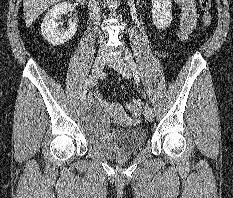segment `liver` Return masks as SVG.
Segmentation results:
<instances>
[{
	"label": "liver",
	"mask_w": 233,
	"mask_h": 198,
	"mask_svg": "<svg viewBox=\"0 0 233 198\" xmlns=\"http://www.w3.org/2000/svg\"><path fill=\"white\" fill-rule=\"evenodd\" d=\"M61 0H23L24 19L27 27L38 18L50 6Z\"/></svg>",
	"instance_id": "liver-1"
}]
</instances>
